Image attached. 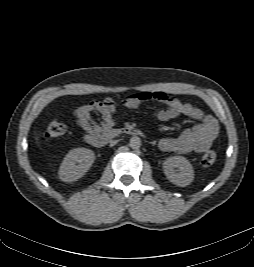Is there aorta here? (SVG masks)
Instances as JSON below:
<instances>
[{"label":"aorta","mask_w":254,"mask_h":267,"mask_svg":"<svg viewBox=\"0 0 254 267\" xmlns=\"http://www.w3.org/2000/svg\"><path fill=\"white\" fill-rule=\"evenodd\" d=\"M129 146L132 149H138L141 146V139L138 136H133L130 139Z\"/></svg>","instance_id":"obj_1"}]
</instances>
